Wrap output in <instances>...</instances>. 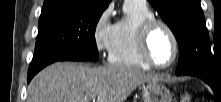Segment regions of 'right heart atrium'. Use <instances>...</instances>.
I'll return each instance as SVG.
<instances>
[{"instance_id": "1", "label": "right heart atrium", "mask_w": 221, "mask_h": 102, "mask_svg": "<svg viewBox=\"0 0 221 102\" xmlns=\"http://www.w3.org/2000/svg\"><path fill=\"white\" fill-rule=\"evenodd\" d=\"M111 16V7L105 8L100 13L93 26V42L96 50L101 55H109L111 49L115 28V24L112 22Z\"/></svg>"}]
</instances>
